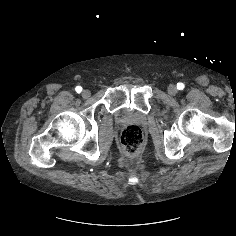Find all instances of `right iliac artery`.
Segmentation results:
<instances>
[{
	"label": "right iliac artery",
	"instance_id": "obj_1",
	"mask_svg": "<svg viewBox=\"0 0 236 236\" xmlns=\"http://www.w3.org/2000/svg\"><path fill=\"white\" fill-rule=\"evenodd\" d=\"M75 90H76L77 93H80L82 91V87L81 86H77L75 88Z\"/></svg>",
	"mask_w": 236,
	"mask_h": 236
}]
</instances>
